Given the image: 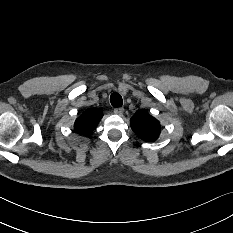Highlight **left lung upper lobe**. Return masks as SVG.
<instances>
[{"label": "left lung upper lobe", "instance_id": "obj_1", "mask_svg": "<svg viewBox=\"0 0 233 233\" xmlns=\"http://www.w3.org/2000/svg\"><path fill=\"white\" fill-rule=\"evenodd\" d=\"M134 133L144 141H155L160 134V123L147 112H137L130 120Z\"/></svg>", "mask_w": 233, "mask_h": 233}]
</instances>
